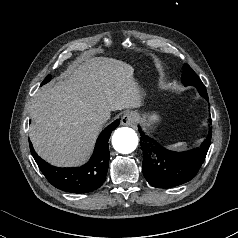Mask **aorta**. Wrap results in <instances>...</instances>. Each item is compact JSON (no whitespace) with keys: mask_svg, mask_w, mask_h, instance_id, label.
Returning a JSON list of instances; mask_svg holds the SVG:
<instances>
[{"mask_svg":"<svg viewBox=\"0 0 238 238\" xmlns=\"http://www.w3.org/2000/svg\"><path fill=\"white\" fill-rule=\"evenodd\" d=\"M112 145L121 154L132 153L138 145L137 133L132 128H118L112 136Z\"/></svg>","mask_w":238,"mask_h":238,"instance_id":"1","label":"aorta"}]
</instances>
